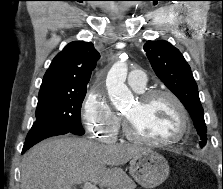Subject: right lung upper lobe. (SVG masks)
<instances>
[{
    "label": "right lung upper lobe",
    "mask_w": 223,
    "mask_h": 189,
    "mask_svg": "<svg viewBox=\"0 0 223 189\" xmlns=\"http://www.w3.org/2000/svg\"><path fill=\"white\" fill-rule=\"evenodd\" d=\"M100 54L91 42L74 41L58 53L46 71L39 93L87 89Z\"/></svg>",
    "instance_id": "right-lung-upper-lobe-1"
}]
</instances>
